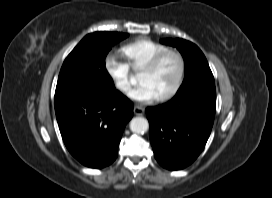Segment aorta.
<instances>
[{
    "mask_svg": "<svg viewBox=\"0 0 272 198\" xmlns=\"http://www.w3.org/2000/svg\"><path fill=\"white\" fill-rule=\"evenodd\" d=\"M149 128L148 120L143 117H135L130 121V130L136 134H143Z\"/></svg>",
    "mask_w": 272,
    "mask_h": 198,
    "instance_id": "762f6f07",
    "label": "aorta"
}]
</instances>
